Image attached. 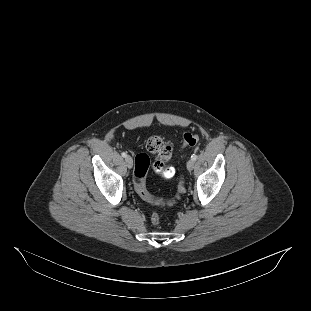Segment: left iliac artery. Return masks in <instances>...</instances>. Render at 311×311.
<instances>
[{"instance_id":"left-iliac-artery-1","label":"left iliac artery","mask_w":311,"mask_h":311,"mask_svg":"<svg viewBox=\"0 0 311 311\" xmlns=\"http://www.w3.org/2000/svg\"><path fill=\"white\" fill-rule=\"evenodd\" d=\"M191 159L195 161V160L197 159V155H196V154H193V155L191 156Z\"/></svg>"}]
</instances>
